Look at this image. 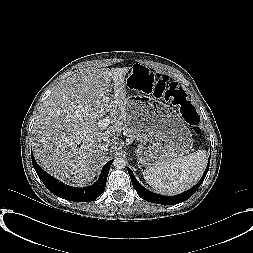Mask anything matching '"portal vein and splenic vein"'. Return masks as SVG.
<instances>
[{"instance_id":"1","label":"portal vein and splenic vein","mask_w":253,"mask_h":253,"mask_svg":"<svg viewBox=\"0 0 253 253\" xmlns=\"http://www.w3.org/2000/svg\"><path fill=\"white\" fill-rule=\"evenodd\" d=\"M111 118L109 116L101 119L98 121V128L103 130L108 127V125L111 123Z\"/></svg>"}]
</instances>
